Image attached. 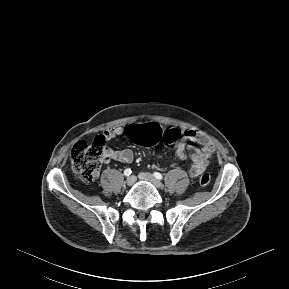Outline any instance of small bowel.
<instances>
[{
    "mask_svg": "<svg viewBox=\"0 0 289 289\" xmlns=\"http://www.w3.org/2000/svg\"><path fill=\"white\" fill-rule=\"evenodd\" d=\"M124 133V128L116 126L105 130L101 137L105 141L114 139ZM188 150L191 152L188 154ZM215 152V146L212 141L204 135L194 130H186L183 138L176 144L175 153L180 160H185L188 156L191 159L189 173L191 177H197L208 167L209 160ZM134 159V153L131 149L125 148L114 150L105 148L103 162L109 163L111 160L122 163H131Z\"/></svg>",
    "mask_w": 289,
    "mask_h": 289,
    "instance_id": "c3829d8e",
    "label": "small bowel"
}]
</instances>
